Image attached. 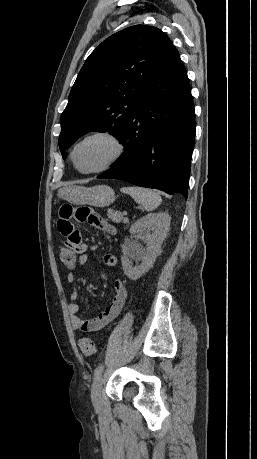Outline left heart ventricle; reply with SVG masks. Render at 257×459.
<instances>
[{
    "label": "left heart ventricle",
    "mask_w": 257,
    "mask_h": 459,
    "mask_svg": "<svg viewBox=\"0 0 257 459\" xmlns=\"http://www.w3.org/2000/svg\"><path fill=\"white\" fill-rule=\"evenodd\" d=\"M113 152L114 146L108 140L92 139L77 148L75 160L80 169L91 170L107 161Z\"/></svg>",
    "instance_id": "1"
}]
</instances>
